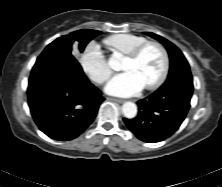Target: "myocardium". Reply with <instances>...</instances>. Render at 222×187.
I'll return each mask as SVG.
<instances>
[{
  "mask_svg": "<svg viewBox=\"0 0 222 187\" xmlns=\"http://www.w3.org/2000/svg\"><path fill=\"white\" fill-rule=\"evenodd\" d=\"M150 46H154L160 50L163 57V66H162V70L158 78L152 83L143 87L146 90L156 89L159 86H161L166 80L169 73V69H170V56H169L168 50L162 43L158 41H146L142 43L141 45H139L138 47H136L132 52L126 55L127 59L135 61L139 59L143 51Z\"/></svg>",
  "mask_w": 222,
  "mask_h": 187,
  "instance_id": "myocardium-1",
  "label": "myocardium"
}]
</instances>
